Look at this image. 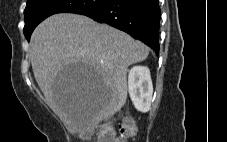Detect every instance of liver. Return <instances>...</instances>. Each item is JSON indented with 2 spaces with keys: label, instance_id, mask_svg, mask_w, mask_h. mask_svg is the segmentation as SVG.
<instances>
[{
  "label": "liver",
  "instance_id": "1",
  "mask_svg": "<svg viewBox=\"0 0 227 142\" xmlns=\"http://www.w3.org/2000/svg\"><path fill=\"white\" fill-rule=\"evenodd\" d=\"M148 54L145 44L125 32L78 14L50 16L37 26L30 41L36 82L49 106L74 132L91 130L121 110L127 99L128 67ZM65 61H88L100 78H92L93 88H62V81H54V76Z\"/></svg>",
  "mask_w": 227,
  "mask_h": 142
}]
</instances>
